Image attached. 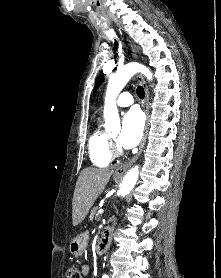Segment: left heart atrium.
I'll return each instance as SVG.
<instances>
[{
	"label": "left heart atrium",
	"mask_w": 221,
	"mask_h": 278,
	"mask_svg": "<svg viewBox=\"0 0 221 278\" xmlns=\"http://www.w3.org/2000/svg\"><path fill=\"white\" fill-rule=\"evenodd\" d=\"M143 127L144 118L142 113L137 109H131L124 115L118 143L126 149L135 147L141 140Z\"/></svg>",
	"instance_id": "39dd6f15"
}]
</instances>
